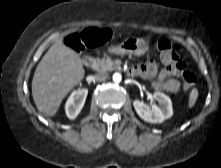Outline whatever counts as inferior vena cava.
Instances as JSON below:
<instances>
[{"mask_svg":"<svg viewBox=\"0 0 221 168\" xmlns=\"http://www.w3.org/2000/svg\"><path fill=\"white\" fill-rule=\"evenodd\" d=\"M108 78V73L106 71H100L95 75L97 81H104Z\"/></svg>","mask_w":221,"mask_h":168,"instance_id":"1","label":"inferior vena cava"}]
</instances>
